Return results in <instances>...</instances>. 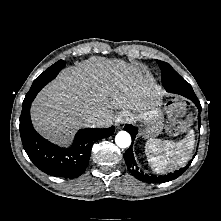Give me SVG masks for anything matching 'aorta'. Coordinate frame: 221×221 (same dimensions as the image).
Here are the masks:
<instances>
[{
  "instance_id": "obj_1",
  "label": "aorta",
  "mask_w": 221,
  "mask_h": 221,
  "mask_svg": "<svg viewBox=\"0 0 221 221\" xmlns=\"http://www.w3.org/2000/svg\"><path fill=\"white\" fill-rule=\"evenodd\" d=\"M115 143L120 148H127L131 144V136L126 131H120L115 137Z\"/></svg>"
}]
</instances>
